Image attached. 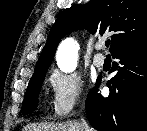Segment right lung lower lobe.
<instances>
[{"mask_svg":"<svg viewBox=\"0 0 147 131\" xmlns=\"http://www.w3.org/2000/svg\"><path fill=\"white\" fill-rule=\"evenodd\" d=\"M118 59L108 81L110 95L93 88L86 100L89 122L98 131H147V33L112 53ZM100 78H98V83Z\"/></svg>","mask_w":147,"mask_h":131,"instance_id":"98d812e1","label":"right lung lower lobe"}]
</instances>
